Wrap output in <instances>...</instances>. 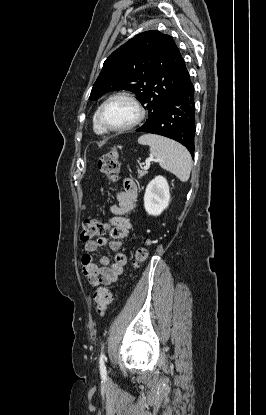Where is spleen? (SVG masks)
<instances>
[{
	"instance_id": "3e777b00",
	"label": "spleen",
	"mask_w": 266,
	"mask_h": 415,
	"mask_svg": "<svg viewBox=\"0 0 266 415\" xmlns=\"http://www.w3.org/2000/svg\"><path fill=\"white\" fill-rule=\"evenodd\" d=\"M138 143L149 145L150 153L159 165L173 173L181 182H187L192 169V158L188 150L181 144L154 134H144Z\"/></svg>"
}]
</instances>
